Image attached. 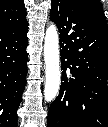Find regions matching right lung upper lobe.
<instances>
[{"label": "right lung upper lobe", "instance_id": "1", "mask_svg": "<svg viewBox=\"0 0 108 127\" xmlns=\"http://www.w3.org/2000/svg\"><path fill=\"white\" fill-rule=\"evenodd\" d=\"M27 22L23 0H0V30L10 29Z\"/></svg>", "mask_w": 108, "mask_h": 127}]
</instances>
